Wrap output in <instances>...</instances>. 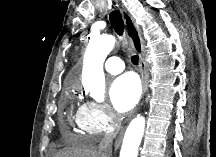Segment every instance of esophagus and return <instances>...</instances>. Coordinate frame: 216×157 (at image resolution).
Listing matches in <instances>:
<instances>
[{"instance_id":"obj_1","label":"esophagus","mask_w":216,"mask_h":157,"mask_svg":"<svg viewBox=\"0 0 216 157\" xmlns=\"http://www.w3.org/2000/svg\"><path fill=\"white\" fill-rule=\"evenodd\" d=\"M123 20L126 24L128 35L132 41L133 47L137 51L139 55V62H140V69H141V80H142V95H144L147 91V76H146V66H145V61H144V40L141 36V31L139 29V26L136 24L134 21L133 17L125 10L121 9L120 10ZM135 28L136 31L138 32L139 39H140V46L136 44V42L133 40V31L132 28ZM124 131L122 130L118 137L116 138L114 142V147L115 149L119 148L122 138H123Z\"/></svg>"}]
</instances>
